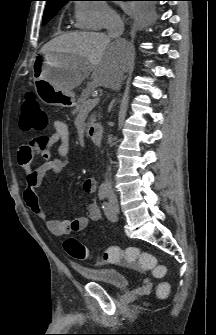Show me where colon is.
<instances>
[{
    "instance_id": "5ec220e1",
    "label": "colon",
    "mask_w": 216,
    "mask_h": 335,
    "mask_svg": "<svg viewBox=\"0 0 216 335\" xmlns=\"http://www.w3.org/2000/svg\"><path fill=\"white\" fill-rule=\"evenodd\" d=\"M48 118L45 111L33 93L26 94L20 118V127L24 131H42L47 127ZM38 143H43V138H37ZM64 249L72 258L88 260L92 257L88 248L76 238H68L64 242ZM104 263H126L137 268L150 271L155 278H163L166 275V267L157 262L156 257L148 252H142L138 248L129 247L122 249L117 246L108 247L102 256ZM170 284L162 282L157 286V294L160 297L168 295Z\"/></svg>"
}]
</instances>
